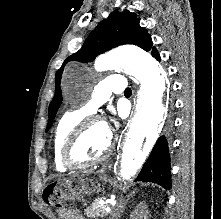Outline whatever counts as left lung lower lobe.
I'll list each match as a JSON object with an SVG mask.
<instances>
[{
    "label": "left lung lower lobe",
    "mask_w": 221,
    "mask_h": 219,
    "mask_svg": "<svg viewBox=\"0 0 221 219\" xmlns=\"http://www.w3.org/2000/svg\"><path fill=\"white\" fill-rule=\"evenodd\" d=\"M151 54L158 61L160 55L156 48L151 50ZM170 156L168 143L165 137H160L156 142L148 160L145 162L136 181L155 182L165 189L171 188Z\"/></svg>",
    "instance_id": "0a47b994"
}]
</instances>
